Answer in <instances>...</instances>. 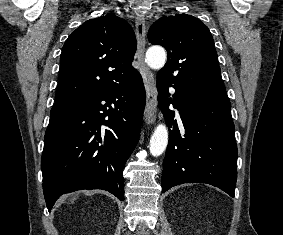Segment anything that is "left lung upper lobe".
Here are the masks:
<instances>
[{
    "label": "left lung upper lobe",
    "mask_w": 283,
    "mask_h": 235,
    "mask_svg": "<svg viewBox=\"0 0 283 235\" xmlns=\"http://www.w3.org/2000/svg\"><path fill=\"white\" fill-rule=\"evenodd\" d=\"M148 40L168 53L159 76L203 95L227 98L214 40L199 19L187 14L162 17L150 27Z\"/></svg>",
    "instance_id": "1"
}]
</instances>
